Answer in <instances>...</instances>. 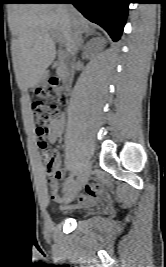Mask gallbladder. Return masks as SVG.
Segmentation results:
<instances>
[{
    "label": "gallbladder",
    "instance_id": "gallbladder-1",
    "mask_svg": "<svg viewBox=\"0 0 166 267\" xmlns=\"http://www.w3.org/2000/svg\"><path fill=\"white\" fill-rule=\"evenodd\" d=\"M49 76H50L49 72L44 73L42 75V77L40 78V80L38 81L37 86H44V85H46Z\"/></svg>",
    "mask_w": 166,
    "mask_h": 267
}]
</instances>
